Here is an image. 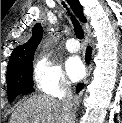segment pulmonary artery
Here are the masks:
<instances>
[{
    "mask_svg": "<svg viewBox=\"0 0 122 123\" xmlns=\"http://www.w3.org/2000/svg\"><path fill=\"white\" fill-rule=\"evenodd\" d=\"M66 49L71 53L78 52L80 49V44L75 38H70L66 42Z\"/></svg>",
    "mask_w": 122,
    "mask_h": 123,
    "instance_id": "obj_1",
    "label": "pulmonary artery"
}]
</instances>
